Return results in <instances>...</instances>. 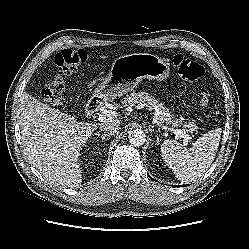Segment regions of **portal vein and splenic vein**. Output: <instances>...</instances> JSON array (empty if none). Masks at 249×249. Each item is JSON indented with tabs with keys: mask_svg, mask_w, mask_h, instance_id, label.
Listing matches in <instances>:
<instances>
[{
	"mask_svg": "<svg viewBox=\"0 0 249 249\" xmlns=\"http://www.w3.org/2000/svg\"><path fill=\"white\" fill-rule=\"evenodd\" d=\"M115 116H116L115 111H113V110H104V111H102L101 113L98 114V120L100 122H104L106 120L114 118ZM173 131L177 136L183 138V143H184L185 146H187V144H188L189 140L191 139V137L187 133H185V132H183V131H181L179 129H175Z\"/></svg>",
	"mask_w": 249,
	"mask_h": 249,
	"instance_id": "obj_1",
	"label": "portal vein and splenic vein"
}]
</instances>
